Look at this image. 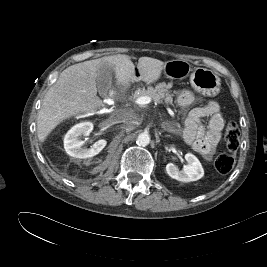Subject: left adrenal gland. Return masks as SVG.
Wrapping results in <instances>:
<instances>
[{"mask_svg":"<svg viewBox=\"0 0 267 267\" xmlns=\"http://www.w3.org/2000/svg\"><path fill=\"white\" fill-rule=\"evenodd\" d=\"M166 137H171V135H166Z\"/></svg>","mask_w":267,"mask_h":267,"instance_id":"left-adrenal-gland-1","label":"left adrenal gland"}]
</instances>
